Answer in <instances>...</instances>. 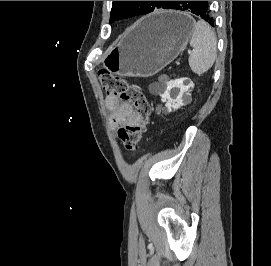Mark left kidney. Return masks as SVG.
<instances>
[{
    "label": "left kidney",
    "instance_id": "1",
    "mask_svg": "<svg viewBox=\"0 0 271 266\" xmlns=\"http://www.w3.org/2000/svg\"><path fill=\"white\" fill-rule=\"evenodd\" d=\"M186 78H180L168 82L165 92L161 95L162 102H166V107L169 112L179 109L181 106L185 105L184 95L187 94L190 88V82H186ZM178 89L179 92L175 97L171 96V91Z\"/></svg>",
    "mask_w": 271,
    "mask_h": 266
}]
</instances>
